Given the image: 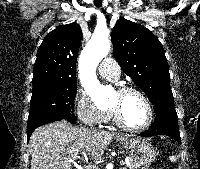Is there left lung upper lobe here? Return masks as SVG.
I'll return each instance as SVG.
<instances>
[{
  "label": "left lung upper lobe",
  "instance_id": "obj_1",
  "mask_svg": "<svg viewBox=\"0 0 200 169\" xmlns=\"http://www.w3.org/2000/svg\"><path fill=\"white\" fill-rule=\"evenodd\" d=\"M111 39L122 71L148 96L155 114L176 112L167 59L158 38L146 27L120 18Z\"/></svg>",
  "mask_w": 200,
  "mask_h": 169
}]
</instances>
